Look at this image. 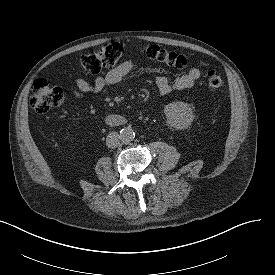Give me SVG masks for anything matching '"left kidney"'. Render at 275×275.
Segmentation results:
<instances>
[{"instance_id": "1", "label": "left kidney", "mask_w": 275, "mask_h": 275, "mask_svg": "<svg viewBox=\"0 0 275 275\" xmlns=\"http://www.w3.org/2000/svg\"><path fill=\"white\" fill-rule=\"evenodd\" d=\"M164 113L168 123L179 130L189 127L194 118L192 109L183 102H173L166 105Z\"/></svg>"}]
</instances>
